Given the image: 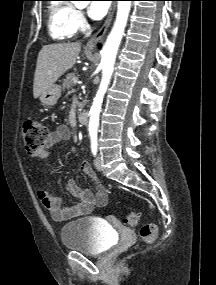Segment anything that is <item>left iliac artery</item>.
<instances>
[{"instance_id": "obj_1", "label": "left iliac artery", "mask_w": 216, "mask_h": 285, "mask_svg": "<svg viewBox=\"0 0 216 285\" xmlns=\"http://www.w3.org/2000/svg\"><path fill=\"white\" fill-rule=\"evenodd\" d=\"M91 150L93 155L95 156L97 153V134L96 133H91Z\"/></svg>"}]
</instances>
